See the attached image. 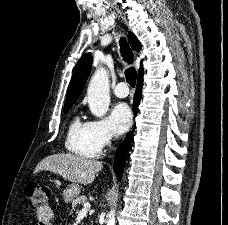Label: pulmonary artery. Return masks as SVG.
<instances>
[{
	"mask_svg": "<svg viewBox=\"0 0 228 225\" xmlns=\"http://www.w3.org/2000/svg\"><path fill=\"white\" fill-rule=\"evenodd\" d=\"M114 94L119 98H125L129 94L128 86L125 82L118 83L114 88Z\"/></svg>",
	"mask_w": 228,
	"mask_h": 225,
	"instance_id": "pulmonary-artery-1",
	"label": "pulmonary artery"
}]
</instances>
